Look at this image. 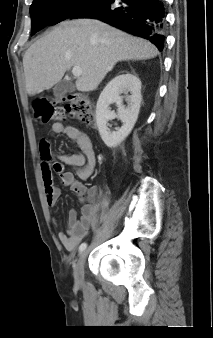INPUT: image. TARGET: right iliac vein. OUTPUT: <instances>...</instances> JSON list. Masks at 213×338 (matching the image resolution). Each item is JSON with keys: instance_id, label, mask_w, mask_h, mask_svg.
Wrapping results in <instances>:
<instances>
[{"instance_id": "right-iliac-vein-1", "label": "right iliac vein", "mask_w": 213, "mask_h": 338, "mask_svg": "<svg viewBox=\"0 0 213 338\" xmlns=\"http://www.w3.org/2000/svg\"><path fill=\"white\" fill-rule=\"evenodd\" d=\"M86 257H87V251L82 252L74 268V279L77 284H81L83 282L84 265H85Z\"/></svg>"}]
</instances>
